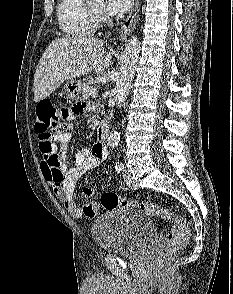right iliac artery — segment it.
<instances>
[{"instance_id": "obj_1", "label": "right iliac artery", "mask_w": 233, "mask_h": 294, "mask_svg": "<svg viewBox=\"0 0 233 294\" xmlns=\"http://www.w3.org/2000/svg\"><path fill=\"white\" fill-rule=\"evenodd\" d=\"M115 169L118 173H121L124 169V164L122 162H118L115 165Z\"/></svg>"}]
</instances>
